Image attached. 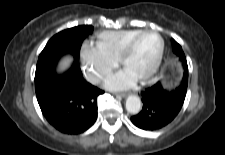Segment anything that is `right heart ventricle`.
Wrapping results in <instances>:
<instances>
[{
  "label": "right heart ventricle",
  "instance_id": "1",
  "mask_svg": "<svg viewBox=\"0 0 225 155\" xmlns=\"http://www.w3.org/2000/svg\"><path fill=\"white\" fill-rule=\"evenodd\" d=\"M141 29H123L103 31L96 35L95 46L104 55L118 60L126 43Z\"/></svg>",
  "mask_w": 225,
  "mask_h": 155
}]
</instances>
